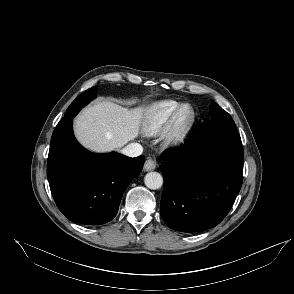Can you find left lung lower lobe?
Returning <instances> with one entry per match:
<instances>
[{"mask_svg":"<svg viewBox=\"0 0 294 294\" xmlns=\"http://www.w3.org/2000/svg\"><path fill=\"white\" fill-rule=\"evenodd\" d=\"M161 215L177 231L215 227L242 186L244 151L233 119H211L185 145L163 153Z\"/></svg>","mask_w":294,"mask_h":294,"instance_id":"obj_1","label":"left lung lower lobe"}]
</instances>
